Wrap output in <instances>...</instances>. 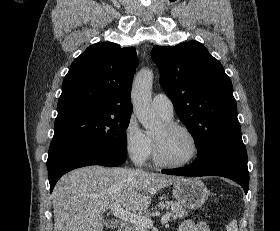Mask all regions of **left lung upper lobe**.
I'll return each instance as SVG.
<instances>
[{
	"mask_svg": "<svg viewBox=\"0 0 280 231\" xmlns=\"http://www.w3.org/2000/svg\"><path fill=\"white\" fill-rule=\"evenodd\" d=\"M160 85L194 138L198 153L218 140L241 135L230 78L204 45L189 41L155 46Z\"/></svg>",
	"mask_w": 280,
	"mask_h": 231,
	"instance_id": "left-lung-upper-lobe-1",
	"label": "left lung upper lobe"
}]
</instances>
